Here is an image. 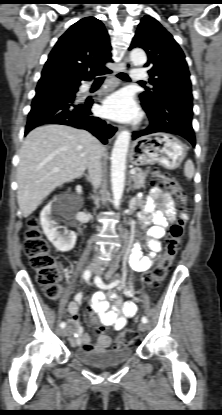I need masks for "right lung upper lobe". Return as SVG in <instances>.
Segmentation results:
<instances>
[{
	"label": "right lung upper lobe",
	"mask_w": 222,
	"mask_h": 415,
	"mask_svg": "<svg viewBox=\"0 0 222 415\" xmlns=\"http://www.w3.org/2000/svg\"><path fill=\"white\" fill-rule=\"evenodd\" d=\"M111 60V46L103 23L86 17L73 24L57 41L43 71H57L79 80L101 75Z\"/></svg>",
	"instance_id": "1"
}]
</instances>
